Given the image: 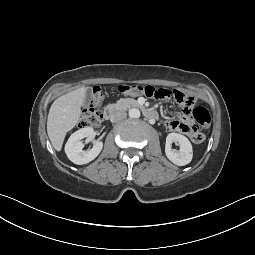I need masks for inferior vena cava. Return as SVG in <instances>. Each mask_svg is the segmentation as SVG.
Returning <instances> with one entry per match:
<instances>
[{
    "instance_id": "inferior-vena-cava-1",
    "label": "inferior vena cava",
    "mask_w": 255,
    "mask_h": 255,
    "mask_svg": "<svg viewBox=\"0 0 255 255\" xmlns=\"http://www.w3.org/2000/svg\"><path fill=\"white\" fill-rule=\"evenodd\" d=\"M127 117V113L124 110H116L111 114V121L112 122H118Z\"/></svg>"
}]
</instances>
